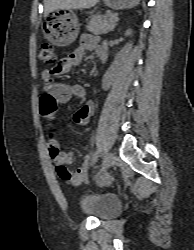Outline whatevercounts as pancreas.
Returning <instances> with one entry per match:
<instances>
[{
	"mask_svg": "<svg viewBox=\"0 0 194 250\" xmlns=\"http://www.w3.org/2000/svg\"><path fill=\"white\" fill-rule=\"evenodd\" d=\"M114 17L115 16L110 12L104 15H93L86 28L89 32L94 34H106L112 31L116 26V22L113 21Z\"/></svg>",
	"mask_w": 194,
	"mask_h": 250,
	"instance_id": "pancreas-1",
	"label": "pancreas"
}]
</instances>
